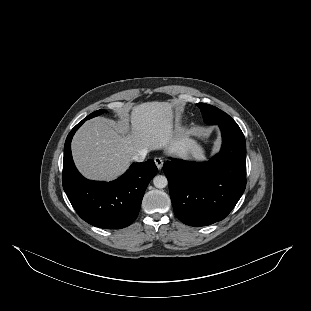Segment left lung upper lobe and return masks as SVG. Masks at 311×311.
Here are the masks:
<instances>
[{
	"instance_id": "5c2ea615",
	"label": "left lung upper lobe",
	"mask_w": 311,
	"mask_h": 311,
	"mask_svg": "<svg viewBox=\"0 0 311 311\" xmlns=\"http://www.w3.org/2000/svg\"><path fill=\"white\" fill-rule=\"evenodd\" d=\"M197 106L200 108L204 122L207 124H219L234 121L228 114L217 107L205 103H198Z\"/></svg>"
}]
</instances>
